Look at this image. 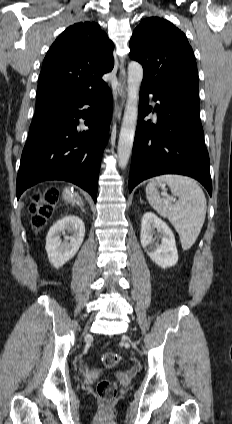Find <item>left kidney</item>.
<instances>
[{
  "mask_svg": "<svg viewBox=\"0 0 232 424\" xmlns=\"http://www.w3.org/2000/svg\"><path fill=\"white\" fill-rule=\"evenodd\" d=\"M156 231L162 234L161 244L153 238ZM140 239L148 256L159 267L166 269L177 263L178 252L174 234L169 226L152 212H147L142 217Z\"/></svg>",
  "mask_w": 232,
  "mask_h": 424,
  "instance_id": "5707ae66",
  "label": "left kidney"
}]
</instances>
